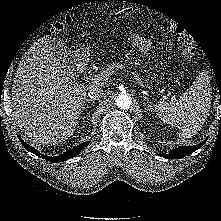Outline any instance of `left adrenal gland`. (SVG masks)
<instances>
[{"instance_id": "obj_1", "label": "left adrenal gland", "mask_w": 221, "mask_h": 221, "mask_svg": "<svg viewBox=\"0 0 221 221\" xmlns=\"http://www.w3.org/2000/svg\"><path fill=\"white\" fill-rule=\"evenodd\" d=\"M143 98H144V100H146L147 101V103H148V110L149 111H152L153 110V108H152V103L150 102V100H149V98H147L146 96H142Z\"/></svg>"}]
</instances>
